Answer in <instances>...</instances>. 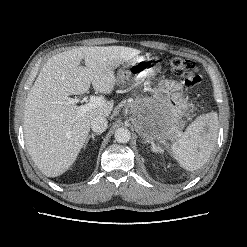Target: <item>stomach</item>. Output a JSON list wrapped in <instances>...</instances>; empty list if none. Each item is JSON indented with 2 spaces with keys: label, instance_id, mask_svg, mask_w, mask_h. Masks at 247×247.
<instances>
[{
  "label": "stomach",
  "instance_id": "0dacf381",
  "mask_svg": "<svg viewBox=\"0 0 247 247\" xmlns=\"http://www.w3.org/2000/svg\"><path fill=\"white\" fill-rule=\"evenodd\" d=\"M157 58L136 56L118 70L117 82L136 85L156 76L160 71ZM137 111L132 123L138 134L146 140L175 138L178 128L189 108L183 85L175 80H161L154 87L153 98L137 101Z\"/></svg>",
  "mask_w": 247,
  "mask_h": 247
}]
</instances>
